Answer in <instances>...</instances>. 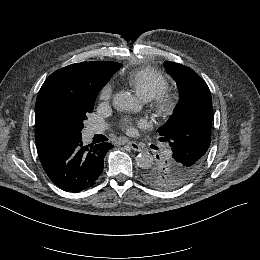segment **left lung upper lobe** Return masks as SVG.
<instances>
[{"mask_svg": "<svg viewBox=\"0 0 260 260\" xmlns=\"http://www.w3.org/2000/svg\"><path fill=\"white\" fill-rule=\"evenodd\" d=\"M164 65L180 93L173 114L158 130L160 140L168 141L173 153L166 160H157L146 167L142 178L152 187L172 190L191 180L206 161L212 99L207 84L192 69L170 61Z\"/></svg>", "mask_w": 260, "mask_h": 260, "instance_id": "obj_1", "label": "left lung upper lobe"}]
</instances>
